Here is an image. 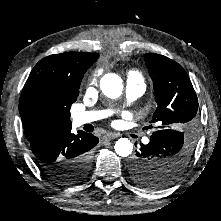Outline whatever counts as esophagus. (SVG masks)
I'll list each match as a JSON object with an SVG mask.
<instances>
[{"label": "esophagus", "mask_w": 221, "mask_h": 221, "mask_svg": "<svg viewBox=\"0 0 221 221\" xmlns=\"http://www.w3.org/2000/svg\"><path fill=\"white\" fill-rule=\"evenodd\" d=\"M119 135L118 134H116V133H110V134H106V135H104L103 137H102V141H110V140H112V139H115V138H117Z\"/></svg>", "instance_id": "1"}]
</instances>
